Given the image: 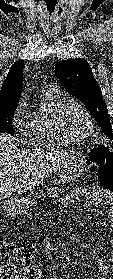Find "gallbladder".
Listing matches in <instances>:
<instances>
[{
  "label": "gallbladder",
  "mask_w": 113,
  "mask_h": 279,
  "mask_svg": "<svg viewBox=\"0 0 113 279\" xmlns=\"http://www.w3.org/2000/svg\"><path fill=\"white\" fill-rule=\"evenodd\" d=\"M6 203H7V202L2 201V200L0 199V212H1L2 208H4V209L6 208ZM11 203H12L13 207H15V202H14V201H11Z\"/></svg>",
  "instance_id": "1"
}]
</instances>
